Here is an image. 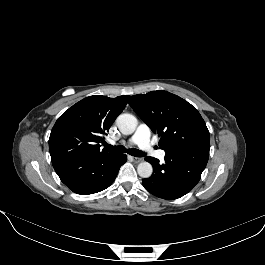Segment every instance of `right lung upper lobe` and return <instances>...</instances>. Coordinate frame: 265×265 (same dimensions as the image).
<instances>
[{
	"label": "right lung upper lobe",
	"instance_id": "1",
	"mask_svg": "<svg viewBox=\"0 0 265 265\" xmlns=\"http://www.w3.org/2000/svg\"><path fill=\"white\" fill-rule=\"evenodd\" d=\"M128 95L108 98L94 95L79 101L56 121L49 138L52 163L111 152L100 150L116 117L124 110Z\"/></svg>",
	"mask_w": 265,
	"mask_h": 265
}]
</instances>
